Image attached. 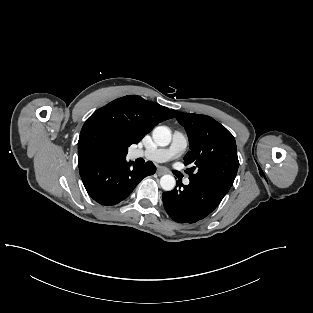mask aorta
<instances>
[{"label":"aorta","instance_id":"1","mask_svg":"<svg viewBox=\"0 0 313 313\" xmlns=\"http://www.w3.org/2000/svg\"><path fill=\"white\" fill-rule=\"evenodd\" d=\"M152 137L159 146H167L171 142V131L166 126H158L153 130ZM176 181L172 175H164L160 179V185L163 190L171 191L175 187Z\"/></svg>","mask_w":313,"mask_h":313}]
</instances>
